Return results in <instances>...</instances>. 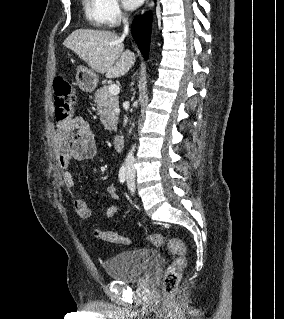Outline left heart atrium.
Segmentation results:
<instances>
[{"mask_svg":"<svg viewBox=\"0 0 284 319\" xmlns=\"http://www.w3.org/2000/svg\"><path fill=\"white\" fill-rule=\"evenodd\" d=\"M122 2L128 9H136L144 2V0H122Z\"/></svg>","mask_w":284,"mask_h":319,"instance_id":"left-heart-atrium-1","label":"left heart atrium"}]
</instances>
